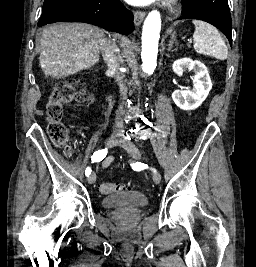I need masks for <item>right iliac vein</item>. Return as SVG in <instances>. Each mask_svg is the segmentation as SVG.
I'll list each match as a JSON object with an SVG mask.
<instances>
[{"instance_id":"1","label":"right iliac vein","mask_w":256,"mask_h":267,"mask_svg":"<svg viewBox=\"0 0 256 267\" xmlns=\"http://www.w3.org/2000/svg\"><path fill=\"white\" fill-rule=\"evenodd\" d=\"M118 137H119V134L117 132H113L111 134V136L108 138V140L106 142V146L107 147H113L117 143ZM95 181H96V174L93 172L88 177V183L93 184V183H95Z\"/></svg>"}]
</instances>
